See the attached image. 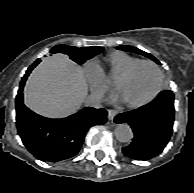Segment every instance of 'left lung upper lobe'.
I'll return each instance as SVG.
<instances>
[{
	"label": "left lung upper lobe",
	"instance_id": "left-lung-upper-lobe-1",
	"mask_svg": "<svg viewBox=\"0 0 194 193\" xmlns=\"http://www.w3.org/2000/svg\"><path fill=\"white\" fill-rule=\"evenodd\" d=\"M117 49L123 50V51H129V52H134L143 56H146L150 59H152L153 61H155L156 63L160 64V62L151 54L146 53L136 47H132V46H126V45H122V46H118Z\"/></svg>",
	"mask_w": 194,
	"mask_h": 193
}]
</instances>
